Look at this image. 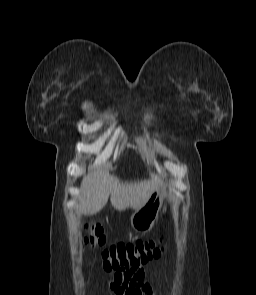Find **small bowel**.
I'll return each instance as SVG.
<instances>
[{"label": "small bowel", "mask_w": 256, "mask_h": 295, "mask_svg": "<svg viewBox=\"0 0 256 295\" xmlns=\"http://www.w3.org/2000/svg\"><path fill=\"white\" fill-rule=\"evenodd\" d=\"M154 273L143 267L115 270L110 273L109 285L116 295H152L150 275Z\"/></svg>", "instance_id": "small-bowel-1"}]
</instances>
